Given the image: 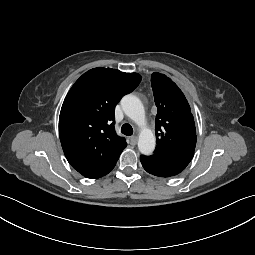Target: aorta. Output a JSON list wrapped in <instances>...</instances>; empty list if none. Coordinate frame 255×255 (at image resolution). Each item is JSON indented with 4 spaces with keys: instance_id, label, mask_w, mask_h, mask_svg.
Segmentation results:
<instances>
[{
    "instance_id": "762f6f07",
    "label": "aorta",
    "mask_w": 255,
    "mask_h": 255,
    "mask_svg": "<svg viewBox=\"0 0 255 255\" xmlns=\"http://www.w3.org/2000/svg\"><path fill=\"white\" fill-rule=\"evenodd\" d=\"M121 106L124 113L139 126L145 123V110L143 104L136 96L132 94L125 95L121 100ZM155 136L150 129L142 128L139 140V151L144 155H151L155 149Z\"/></svg>"
}]
</instances>
